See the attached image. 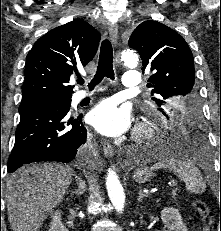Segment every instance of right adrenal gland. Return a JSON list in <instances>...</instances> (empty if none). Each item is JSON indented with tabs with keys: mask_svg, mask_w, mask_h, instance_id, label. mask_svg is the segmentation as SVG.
I'll use <instances>...</instances> for the list:
<instances>
[{
	"mask_svg": "<svg viewBox=\"0 0 221 231\" xmlns=\"http://www.w3.org/2000/svg\"><path fill=\"white\" fill-rule=\"evenodd\" d=\"M74 178H75L76 183H77V188L72 192V194L73 195L75 194L76 196H81L86 191L85 181L82 180V178H80L76 174H74Z\"/></svg>",
	"mask_w": 221,
	"mask_h": 231,
	"instance_id": "right-adrenal-gland-1",
	"label": "right adrenal gland"
}]
</instances>
